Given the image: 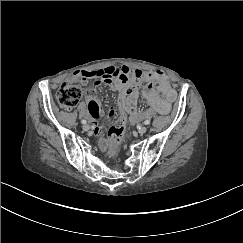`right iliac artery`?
<instances>
[{"label":"right iliac artery","mask_w":243,"mask_h":243,"mask_svg":"<svg viewBox=\"0 0 243 243\" xmlns=\"http://www.w3.org/2000/svg\"><path fill=\"white\" fill-rule=\"evenodd\" d=\"M81 123H82V124H86V120H82Z\"/></svg>","instance_id":"obj_1"}]
</instances>
